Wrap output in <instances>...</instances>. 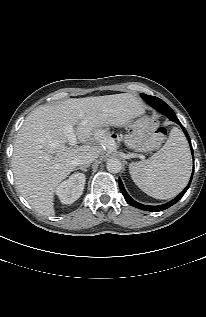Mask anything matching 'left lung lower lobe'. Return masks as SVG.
<instances>
[{"instance_id":"obj_1","label":"left lung lower lobe","mask_w":206,"mask_h":317,"mask_svg":"<svg viewBox=\"0 0 206 317\" xmlns=\"http://www.w3.org/2000/svg\"><path fill=\"white\" fill-rule=\"evenodd\" d=\"M148 104L151 105L153 108L157 109L158 111L162 112L163 114H165L172 121H174L177 124L181 125L173 111L165 109L163 106H161L160 104H158V103H156L155 101H152V100H149ZM182 129H183V131H184V133H185V135H186V137L188 139V142H189L190 147H191V153H192V156H193V149H192V146H191V141H190L189 135H188V133H187V131H186V129L184 127H182ZM191 179H192V176H191ZM191 179H190V182H191ZM190 182L187 185V187L175 199H173L172 201L168 202L167 204L160 205V206L143 205V204H140V203L136 202L135 200H133L128 195V193L126 192V190H125L120 178H119V187H120V190H121L125 200L130 205H132L133 207H136V208H139V209L145 210V211L158 212V211L165 210V209L171 207L172 205H174L176 202H178L182 198V196L185 194V192L188 190V188L190 186Z\"/></svg>"}]
</instances>
